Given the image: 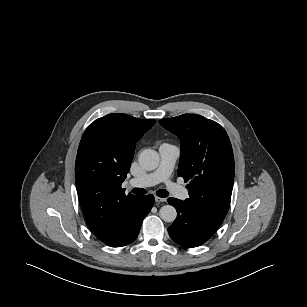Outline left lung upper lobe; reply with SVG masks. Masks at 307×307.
I'll return each instance as SVG.
<instances>
[{"mask_svg":"<svg viewBox=\"0 0 307 307\" xmlns=\"http://www.w3.org/2000/svg\"><path fill=\"white\" fill-rule=\"evenodd\" d=\"M181 141L178 176L190 181L185 206L205 223L219 228L231 200L234 156L226 131L196 114L159 120Z\"/></svg>","mask_w":307,"mask_h":307,"instance_id":"1","label":"left lung upper lobe"}]
</instances>
